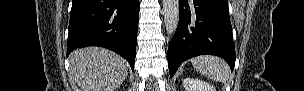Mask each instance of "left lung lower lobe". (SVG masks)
Listing matches in <instances>:
<instances>
[{
    "label": "left lung lower lobe",
    "instance_id": "left-lung-lower-lobe-1",
    "mask_svg": "<svg viewBox=\"0 0 304 91\" xmlns=\"http://www.w3.org/2000/svg\"><path fill=\"white\" fill-rule=\"evenodd\" d=\"M179 23L168 47L170 77L182 62L213 54L235 66L236 54L227 0H179Z\"/></svg>",
    "mask_w": 304,
    "mask_h": 91
}]
</instances>
